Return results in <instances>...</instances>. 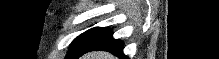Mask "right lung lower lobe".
Here are the masks:
<instances>
[{
	"mask_svg": "<svg viewBox=\"0 0 219 59\" xmlns=\"http://www.w3.org/2000/svg\"><path fill=\"white\" fill-rule=\"evenodd\" d=\"M104 50V51H109L110 53L114 54L117 57H121L123 59H128L124 54H123V43L122 41L115 40L112 37V33L104 37L102 40H100L95 46L89 50ZM88 51V52H89Z\"/></svg>",
	"mask_w": 219,
	"mask_h": 59,
	"instance_id": "1",
	"label": "right lung lower lobe"
}]
</instances>
